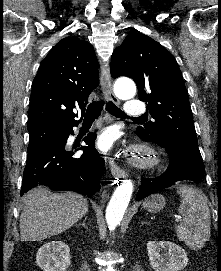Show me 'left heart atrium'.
Wrapping results in <instances>:
<instances>
[{
  "mask_svg": "<svg viewBox=\"0 0 221 271\" xmlns=\"http://www.w3.org/2000/svg\"><path fill=\"white\" fill-rule=\"evenodd\" d=\"M119 137L117 131L107 129L98 136V145L103 150H110Z\"/></svg>",
  "mask_w": 221,
  "mask_h": 271,
  "instance_id": "left-heart-atrium-1",
  "label": "left heart atrium"
}]
</instances>
